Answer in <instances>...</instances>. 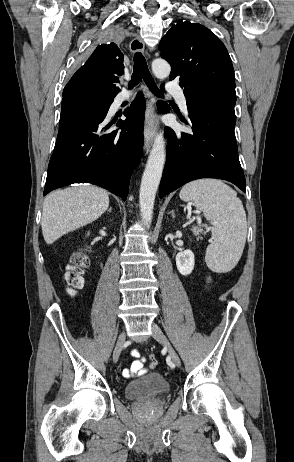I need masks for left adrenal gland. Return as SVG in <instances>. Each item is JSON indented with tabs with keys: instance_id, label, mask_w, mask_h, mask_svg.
<instances>
[{
	"instance_id": "left-adrenal-gland-1",
	"label": "left adrenal gland",
	"mask_w": 294,
	"mask_h": 462,
	"mask_svg": "<svg viewBox=\"0 0 294 462\" xmlns=\"http://www.w3.org/2000/svg\"><path fill=\"white\" fill-rule=\"evenodd\" d=\"M168 214H171L172 217H175V213H174V210H171Z\"/></svg>"
}]
</instances>
